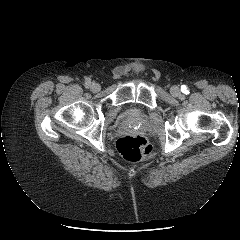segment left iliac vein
I'll return each mask as SVG.
<instances>
[{
	"instance_id": "left-iliac-vein-1",
	"label": "left iliac vein",
	"mask_w": 240,
	"mask_h": 240,
	"mask_svg": "<svg viewBox=\"0 0 240 240\" xmlns=\"http://www.w3.org/2000/svg\"><path fill=\"white\" fill-rule=\"evenodd\" d=\"M170 92L174 97H180L182 95L180 88L177 86H172Z\"/></svg>"
}]
</instances>
